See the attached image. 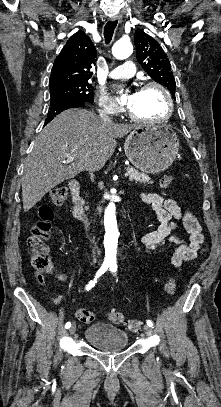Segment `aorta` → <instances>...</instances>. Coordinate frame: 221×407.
<instances>
[{"instance_id":"obj_1","label":"aorta","mask_w":221,"mask_h":407,"mask_svg":"<svg viewBox=\"0 0 221 407\" xmlns=\"http://www.w3.org/2000/svg\"><path fill=\"white\" fill-rule=\"evenodd\" d=\"M133 52V46L130 41H117L112 47V54L117 59H126ZM104 246H105V261H116L117 243L119 231L116 220V207L113 202H110L104 212Z\"/></svg>"}]
</instances>
